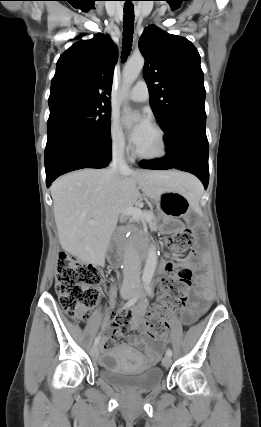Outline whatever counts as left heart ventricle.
<instances>
[{"mask_svg": "<svg viewBox=\"0 0 261 427\" xmlns=\"http://www.w3.org/2000/svg\"><path fill=\"white\" fill-rule=\"evenodd\" d=\"M160 144L157 133L152 128L136 149L142 154H155L159 151Z\"/></svg>", "mask_w": 261, "mask_h": 427, "instance_id": "left-heart-ventricle-1", "label": "left heart ventricle"}]
</instances>
